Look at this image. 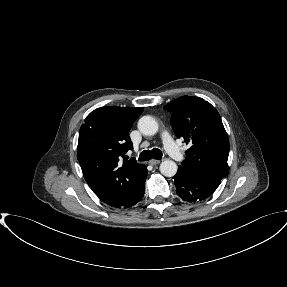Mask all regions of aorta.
<instances>
[{"instance_id": "aorta-1", "label": "aorta", "mask_w": 287, "mask_h": 287, "mask_svg": "<svg viewBox=\"0 0 287 287\" xmlns=\"http://www.w3.org/2000/svg\"><path fill=\"white\" fill-rule=\"evenodd\" d=\"M138 129L144 135H155L158 131V123L152 116L146 115L139 119ZM178 166L172 160H164L160 164V172L166 177H172L177 173Z\"/></svg>"}]
</instances>
